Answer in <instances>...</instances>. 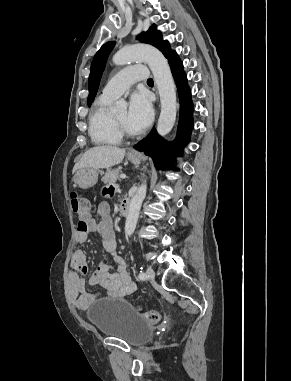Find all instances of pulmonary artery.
Masks as SVG:
<instances>
[{"label":"pulmonary artery","mask_w":291,"mask_h":381,"mask_svg":"<svg viewBox=\"0 0 291 381\" xmlns=\"http://www.w3.org/2000/svg\"><path fill=\"white\" fill-rule=\"evenodd\" d=\"M147 77L148 70L144 65H132L126 67L108 81L102 90L101 96L116 99L136 81L145 80Z\"/></svg>","instance_id":"pulmonary-artery-1"}]
</instances>
